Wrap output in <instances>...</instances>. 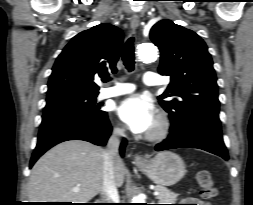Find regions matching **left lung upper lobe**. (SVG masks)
Here are the masks:
<instances>
[{
    "label": "left lung upper lobe",
    "instance_id": "obj_1",
    "mask_svg": "<svg viewBox=\"0 0 253 205\" xmlns=\"http://www.w3.org/2000/svg\"><path fill=\"white\" fill-rule=\"evenodd\" d=\"M150 38L161 51L159 73L171 76L159 102L172 124L185 126L202 114L218 116L217 79L205 42L195 32L170 20L156 23Z\"/></svg>",
    "mask_w": 253,
    "mask_h": 205
}]
</instances>
